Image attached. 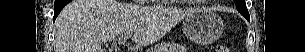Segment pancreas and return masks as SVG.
I'll list each match as a JSON object with an SVG mask.
<instances>
[{
	"label": "pancreas",
	"mask_w": 305,
	"mask_h": 52,
	"mask_svg": "<svg viewBox=\"0 0 305 52\" xmlns=\"http://www.w3.org/2000/svg\"><path fill=\"white\" fill-rule=\"evenodd\" d=\"M183 47L176 43H164L154 49V52H178Z\"/></svg>",
	"instance_id": "obj_1"
}]
</instances>
